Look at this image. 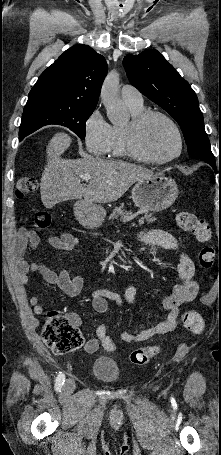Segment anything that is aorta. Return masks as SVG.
Returning a JSON list of instances; mask_svg holds the SVG:
<instances>
[{"mask_svg": "<svg viewBox=\"0 0 221 455\" xmlns=\"http://www.w3.org/2000/svg\"><path fill=\"white\" fill-rule=\"evenodd\" d=\"M118 85V74L110 72L103 82L100 94L107 111V117L115 125L124 124L128 120V112L118 96Z\"/></svg>", "mask_w": 221, "mask_h": 455, "instance_id": "762f6f07", "label": "aorta"}]
</instances>
